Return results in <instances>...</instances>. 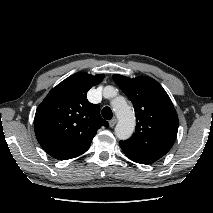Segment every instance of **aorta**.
Returning <instances> with one entry per match:
<instances>
[{
	"label": "aorta",
	"mask_w": 213,
	"mask_h": 213,
	"mask_svg": "<svg viewBox=\"0 0 213 213\" xmlns=\"http://www.w3.org/2000/svg\"><path fill=\"white\" fill-rule=\"evenodd\" d=\"M113 91L112 87H106L104 92ZM111 105L118 118L115 127V135L120 140H126L131 137L135 129V114L127 104L124 97H117L112 100Z\"/></svg>",
	"instance_id": "762f6f07"
}]
</instances>
